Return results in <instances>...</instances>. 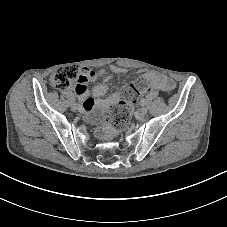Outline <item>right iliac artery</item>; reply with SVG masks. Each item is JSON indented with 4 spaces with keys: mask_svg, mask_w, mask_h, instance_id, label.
Returning a JSON list of instances; mask_svg holds the SVG:
<instances>
[{
    "mask_svg": "<svg viewBox=\"0 0 227 227\" xmlns=\"http://www.w3.org/2000/svg\"><path fill=\"white\" fill-rule=\"evenodd\" d=\"M78 110H79V112H83L84 108L80 104H78Z\"/></svg>",
    "mask_w": 227,
    "mask_h": 227,
    "instance_id": "right-iliac-artery-1",
    "label": "right iliac artery"
}]
</instances>
